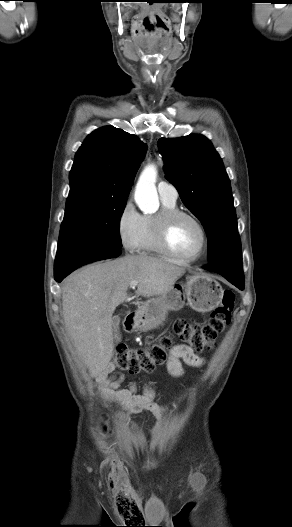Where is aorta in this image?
Segmentation results:
<instances>
[{
    "mask_svg": "<svg viewBox=\"0 0 292 527\" xmlns=\"http://www.w3.org/2000/svg\"><path fill=\"white\" fill-rule=\"evenodd\" d=\"M156 178L157 168L154 164H149L142 171L136 185L135 201L145 213L155 212L159 206Z\"/></svg>",
    "mask_w": 292,
    "mask_h": 527,
    "instance_id": "obj_1",
    "label": "aorta"
}]
</instances>
